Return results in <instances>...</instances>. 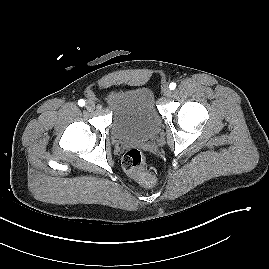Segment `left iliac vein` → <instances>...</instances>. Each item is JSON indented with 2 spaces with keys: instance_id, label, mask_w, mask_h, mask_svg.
<instances>
[{
  "instance_id": "1",
  "label": "left iliac vein",
  "mask_w": 269,
  "mask_h": 269,
  "mask_svg": "<svg viewBox=\"0 0 269 269\" xmlns=\"http://www.w3.org/2000/svg\"><path fill=\"white\" fill-rule=\"evenodd\" d=\"M162 93H163V95L165 97H170L171 96V90L169 89L168 86L163 87Z\"/></svg>"
}]
</instances>
